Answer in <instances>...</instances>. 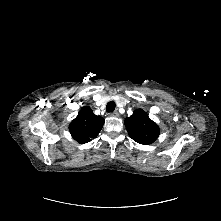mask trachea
<instances>
[{
  "label": "trachea",
  "mask_w": 221,
  "mask_h": 221,
  "mask_svg": "<svg viewBox=\"0 0 221 221\" xmlns=\"http://www.w3.org/2000/svg\"><path fill=\"white\" fill-rule=\"evenodd\" d=\"M116 104L114 101H110L106 105V111L107 112H113L115 110Z\"/></svg>",
  "instance_id": "3493384b"
}]
</instances>
